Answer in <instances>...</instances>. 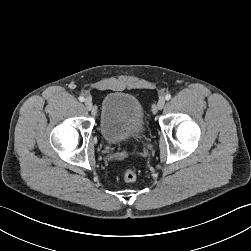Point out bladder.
<instances>
[{"instance_id": "bladder-1", "label": "bladder", "mask_w": 251, "mask_h": 251, "mask_svg": "<svg viewBox=\"0 0 251 251\" xmlns=\"http://www.w3.org/2000/svg\"><path fill=\"white\" fill-rule=\"evenodd\" d=\"M99 130L103 139L110 144L143 137L146 121L141 102L124 92L108 93L101 104Z\"/></svg>"}]
</instances>
